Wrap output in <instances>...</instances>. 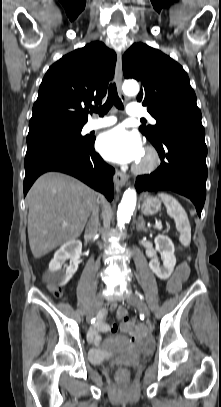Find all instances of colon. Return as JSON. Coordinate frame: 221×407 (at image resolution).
Segmentation results:
<instances>
[{"mask_svg": "<svg viewBox=\"0 0 221 407\" xmlns=\"http://www.w3.org/2000/svg\"><path fill=\"white\" fill-rule=\"evenodd\" d=\"M190 262L188 260H181L179 265H175L173 275L170 276L169 282L166 283V290L179 294L181 292V284H187L190 277ZM57 298L64 297V291H51ZM117 313V320L119 321V328L122 330H129L132 340L139 338L143 330L137 327L136 321L130 320V314L128 313L125 305H117L115 307ZM117 376L120 382L127 380L128 372L125 368H120L117 372Z\"/></svg>", "mask_w": 221, "mask_h": 407, "instance_id": "obj_1", "label": "colon"}]
</instances>
